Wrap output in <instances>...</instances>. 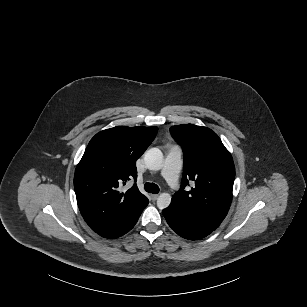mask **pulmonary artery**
Here are the masks:
<instances>
[{
  "label": "pulmonary artery",
  "instance_id": "1",
  "mask_svg": "<svg viewBox=\"0 0 307 307\" xmlns=\"http://www.w3.org/2000/svg\"><path fill=\"white\" fill-rule=\"evenodd\" d=\"M183 169V152L178 143H171L168 146L167 155L163 169L151 176L165 182L169 187L176 188L181 183L179 174Z\"/></svg>",
  "mask_w": 307,
  "mask_h": 307
}]
</instances>
